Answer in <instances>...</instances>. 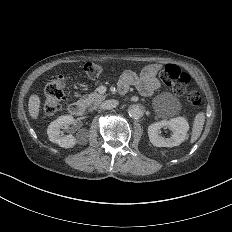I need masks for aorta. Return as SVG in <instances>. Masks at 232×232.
Returning <instances> with one entry per match:
<instances>
[{
	"label": "aorta",
	"mask_w": 232,
	"mask_h": 232,
	"mask_svg": "<svg viewBox=\"0 0 232 232\" xmlns=\"http://www.w3.org/2000/svg\"><path fill=\"white\" fill-rule=\"evenodd\" d=\"M128 114L132 118H139L143 115V109L139 104H132L128 108Z\"/></svg>",
	"instance_id": "1"
}]
</instances>
